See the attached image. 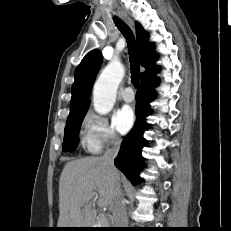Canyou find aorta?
<instances>
[{"mask_svg":"<svg viewBox=\"0 0 231 231\" xmlns=\"http://www.w3.org/2000/svg\"><path fill=\"white\" fill-rule=\"evenodd\" d=\"M124 74L125 67L118 61L110 62L102 71L93 90V106L97 113L104 115L112 110Z\"/></svg>","mask_w":231,"mask_h":231,"instance_id":"762f6f07","label":"aorta"}]
</instances>
